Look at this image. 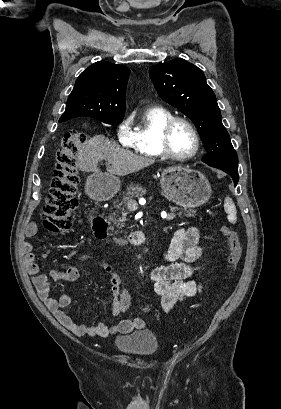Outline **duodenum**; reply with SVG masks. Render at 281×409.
I'll return each mask as SVG.
<instances>
[{"instance_id":"obj_1","label":"duodenum","mask_w":281,"mask_h":409,"mask_svg":"<svg viewBox=\"0 0 281 409\" xmlns=\"http://www.w3.org/2000/svg\"><path fill=\"white\" fill-rule=\"evenodd\" d=\"M92 229L98 238H106L108 235V225L103 216H97L92 220ZM128 241L132 245H142L144 243L143 234L140 232H132L127 235Z\"/></svg>"}]
</instances>
